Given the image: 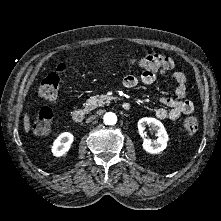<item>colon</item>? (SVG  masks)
Here are the masks:
<instances>
[{
  "mask_svg": "<svg viewBox=\"0 0 221 221\" xmlns=\"http://www.w3.org/2000/svg\"><path fill=\"white\" fill-rule=\"evenodd\" d=\"M130 65L139 67L150 73H164L173 66L172 60L162 54H150L142 59L131 60ZM65 70L64 65L57 67L56 73L48 74L40 83L39 94L50 101L55 102L59 93V73ZM53 113L51 109H42L36 117L33 125L35 134L39 136H48L52 132ZM198 120L195 117H186L182 122V131L192 136L198 131Z\"/></svg>",
  "mask_w": 221,
  "mask_h": 221,
  "instance_id": "colon-1",
  "label": "colon"
}]
</instances>
